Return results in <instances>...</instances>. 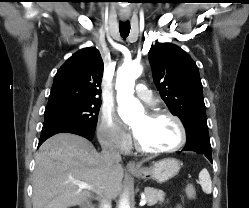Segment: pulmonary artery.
Instances as JSON below:
<instances>
[{"instance_id": "pulmonary-artery-1", "label": "pulmonary artery", "mask_w": 249, "mask_h": 208, "mask_svg": "<svg viewBox=\"0 0 249 208\" xmlns=\"http://www.w3.org/2000/svg\"><path fill=\"white\" fill-rule=\"evenodd\" d=\"M136 96L146 102V103H152L153 101V96L151 90H149L145 85L143 84H138L136 86Z\"/></svg>"}]
</instances>
